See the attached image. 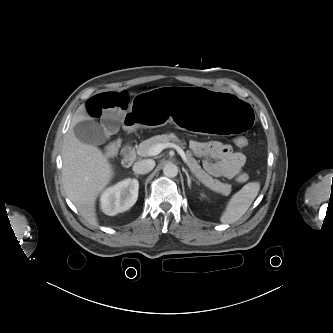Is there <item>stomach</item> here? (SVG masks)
Masks as SVG:
<instances>
[{"mask_svg": "<svg viewBox=\"0 0 333 333\" xmlns=\"http://www.w3.org/2000/svg\"><path fill=\"white\" fill-rule=\"evenodd\" d=\"M128 115L132 118L128 126L162 127L172 122L190 132L218 137H243L254 126V112L246 101L185 86L137 94Z\"/></svg>", "mask_w": 333, "mask_h": 333, "instance_id": "stomach-1", "label": "stomach"}]
</instances>
